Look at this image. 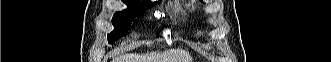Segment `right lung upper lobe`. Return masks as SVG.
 I'll list each match as a JSON object with an SVG mask.
<instances>
[{
  "instance_id": "1",
  "label": "right lung upper lobe",
  "mask_w": 331,
  "mask_h": 62,
  "mask_svg": "<svg viewBox=\"0 0 331 62\" xmlns=\"http://www.w3.org/2000/svg\"><path fill=\"white\" fill-rule=\"evenodd\" d=\"M123 1L139 2L138 0H123ZM144 3H152V2L150 0H145Z\"/></svg>"
}]
</instances>
